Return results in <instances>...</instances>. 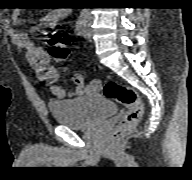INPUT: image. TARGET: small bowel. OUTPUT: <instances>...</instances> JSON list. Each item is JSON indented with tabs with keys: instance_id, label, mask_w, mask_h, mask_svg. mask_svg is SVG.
I'll use <instances>...</instances> for the list:
<instances>
[{
	"instance_id": "obj_1",
	"label": "small bowel",
	"mask_w": 192,
	"mask_h": 180,
	"mask_svg": "<svg viewBox=\"0 0 192 180\" xmlns=\"http://www.w3.org/2000/svg\"><path fill=\"white\" fill-rule=\"evenodd\" d=\"M69 14V9L59 7L48 12L42 18V21L49 26H55L60 21L66 19ZM11 21L15 25L20 23L19 11H14L12 13ZM11 36L18 47L27 51L28 58L36 69L39 80L45 84L56 98L65 99L67 97L80 96L86 93L96 92L100 88L99 81H93L89 85H86L84 76L82 74H76L74 76V87L70 92H67L57 85L58 73L44 50L35 46L25 32L13 30Z\"/></svg>"
}]
</instances>
